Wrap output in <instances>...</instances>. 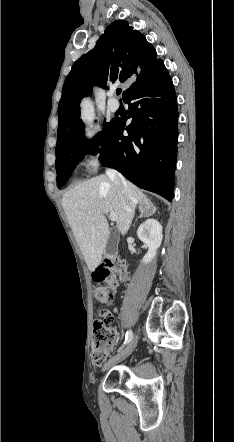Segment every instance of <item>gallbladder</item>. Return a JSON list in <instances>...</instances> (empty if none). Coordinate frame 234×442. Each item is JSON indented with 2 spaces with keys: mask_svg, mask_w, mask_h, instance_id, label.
I'll use <instances>...</instances> for the list:
<instances>
[{
  "mask_svg": "<svg viewBox=\"0 0 234 442\" xmlns=\"http://www.w3.org/2000/svg\"><path fill=\"white\" fill-rule=\"evenodd\" d=\"M116 251V239H115V235L114 232L111 231L107 245H106V249H105V253L107 256H112Z\"/></svg>",
  "mask_w": 234,
  "mask_h": 442,
  "instance_id": "gallbladder-1",
  "label": "gallbladder"
}]
</instances>
